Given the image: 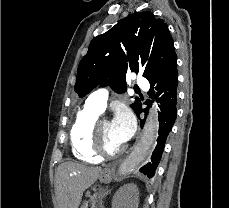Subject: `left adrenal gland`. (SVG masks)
I'll return each mask as SVG.
<instances>
[{"label":"left adrenal gland","mask_w":229,"mask_h":208,"mask_svg":"<svg viewBox=\"0 0 229 208\" xmlns=\"http://www.w3.org/2000/svg\"><path fill=\"white\" fill-rule=\"evenodd\" d=\"M103 192H105V190H103ZM108 192H105L104 196H107Z\"/></svg>","instance_id":"a2214340"}]
</instances>
